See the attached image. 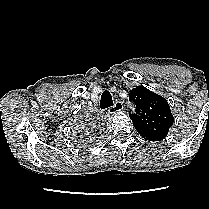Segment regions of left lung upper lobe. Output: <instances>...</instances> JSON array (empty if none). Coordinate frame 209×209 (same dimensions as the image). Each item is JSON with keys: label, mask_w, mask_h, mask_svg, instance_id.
I'll use <instances>...</instances> for the list:
<instances>
[{"label": "left lung upper lobe", "mask_w": 209, "mask_h": 209, "mask_svg": "<svg viewBox=\"0 0 209 209\" xmlns=\"http://www.w3.org/2000/svg\"><path fill=\"white\" fill-rule=\"evenodd\" d=\"M136 105V113H129L137 132L146 140H163L174 122L169 104L162 96L138 86L129 93Z\"/></svg>", "instance_id": "obj_1"}]
</instances>
